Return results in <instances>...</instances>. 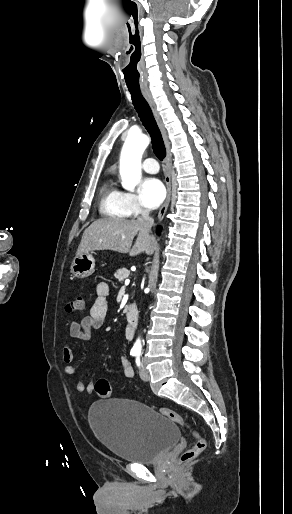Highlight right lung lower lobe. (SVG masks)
Wrapping results in <instances>:
<instances>
[{"instance_id": "right-lung-lower-lobe-1", "label": "right lung lower lobe", "mask_w": 292, "mask_h": 514, "mask_svg": "<svg viewBox=\"0 0 292 514\" xmlns=\"http://www.w3.org/2000/svg\"><path fill=\"white\" fill-rule=\"evenodd\" d=\"M158 231H159V232L161 231V228H160V227H158Z\"/></svg>"}]
</instances>
